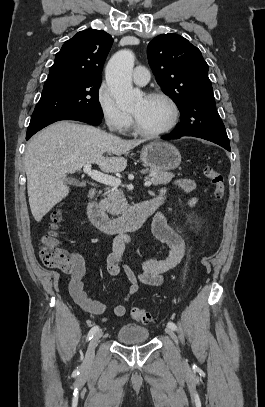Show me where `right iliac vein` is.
<instances>
[{
	"mask_svg": "<svg viewBox=\"0 0 265 407\" xmlns=\"http://www.w3.org/2000/svg\"><path fill=\"white\" fill-rule=\"evenodd\" d=\"M103 332L99 331L97 332L92 340L90 341L88 348H87V352H86V356H85V362L87 364H90L94 358V353H95V348L100 340V338L102 337Z\"/></svg>",
	"mask_w": 265,
	"mask_h": 407,
	"instance_id": "obj_1",
	"label": "right iliac vein"
}]
</instances>
